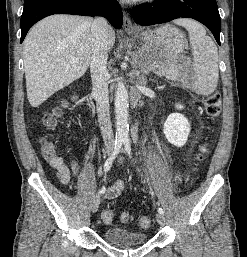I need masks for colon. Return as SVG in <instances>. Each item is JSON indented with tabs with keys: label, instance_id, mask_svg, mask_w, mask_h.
I'll return each instance as SVG.
<instances>
[{
	"label": "colon",
	"instance_id": "1",
	"mask_svg": "<svg viewBox=\"0 0 247 257\" xmlns=\"http://www.w3.org/2000/svg\"><path fill=\"white\" fill-rule=\"evenodd\" d=\"M204 107L206 116L211 121H216L221 113V96L218 92H214L208 95L204 100ZM62 109H56L54 112L48 114L44 118V125L47 128L54 127L58 121V118L62 115ZM41 152L45 158H52L56 155V146L47 140H44L41 144ZM206 152V145H203L197 156V161H202L204 154ZM103 221L105 223H112L114 221L115 215L111 210H105L102 215ZM132 219L131 215L128 212H122L119 216V220L122 223H128ZM138 224L141 228L147 229L151 225V220L147 216H142L138 220Z\"/></svg>",
	"mask_w": 247,
	"mask_h": 257
}]
</instances>
